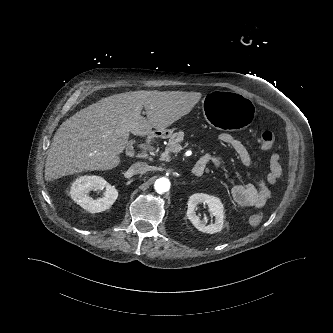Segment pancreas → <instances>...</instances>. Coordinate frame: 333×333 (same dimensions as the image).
I'll return each instance as SVG.
<instances>
[{
  "instance_id": "pancreas-1",
  "label": "pancreas",
  "mask_w": 333,
  "mask_h": 333,
  "mask_svg": "<svg viewBox=\"0 0 333 333\" xmlns=\"http://www.w3.org/2000/svg\"><path fill=\"white\" fill-rule=\"evenodd\" d=\"M184 140V132L179 131L174 134L169 139L168 146L165 149V155L162 156L164 160L169 159V154L177 153L181 146L180 143Z\"/></svg>"
}]
</instances>
